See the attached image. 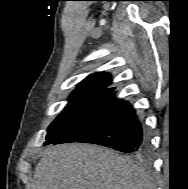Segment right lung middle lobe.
<instances>
[{
    "label": "right lung middle lobe",
    "instance_id": "dd1d6c3e",
    "mask_svg": "<svg viewBox=\"0 0 188 189\" xmlns=\"http://www.w3.org/2000/svg\"><path fill=\"white\" fill-rule=\"evenodd\" d=\"M106 95L104 92L72 93L62 113L49 126L45 144L54 141Z\"/></svg>",
    "mask_w": 188,
    "mask_h": 189
}]
</instances>
